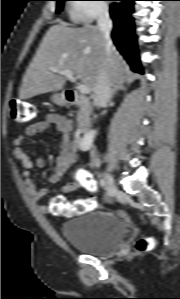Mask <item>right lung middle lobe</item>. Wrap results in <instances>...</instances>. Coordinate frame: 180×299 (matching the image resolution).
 <instances>
[{"label": "right lung middle lobe", "instance_id": "obj_1", "mask_svg": "<svg viewBox=\"0 0 180 299\" xmlns=\"http://www.w3.org/2000/svg\"><path fill=\"white\" fill-rule=\"evenodd\" d=\"M56 1H58L57 8H56V13H60L62 11V8H63V3L66 0H56Z\"/></svg>", "mask_w": 180, "mask_h": 299}]
</instances>
